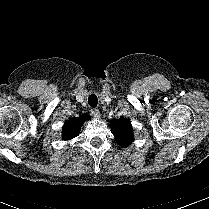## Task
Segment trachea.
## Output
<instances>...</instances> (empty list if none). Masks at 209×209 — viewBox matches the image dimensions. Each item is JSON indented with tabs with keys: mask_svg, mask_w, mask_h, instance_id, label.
Segmentation results:
<instances>
[{
	"mask_svg": "<svg viewBox=\"0 0 209 209\" xmlns=\"http://www.w3.org/2000/svg\"><path fill=\"white\" fill-rule=\"evenodd\" d=\"M88 104L91 106V107H96L97 104H98V99H97V96L95 94H91L89 97H88Z\"/></svg>",
	"mask_w": 209,
	"mask_h": 209,
	"instance_id": "obj_1",
	"label": "trachea"
}]
</instances>
